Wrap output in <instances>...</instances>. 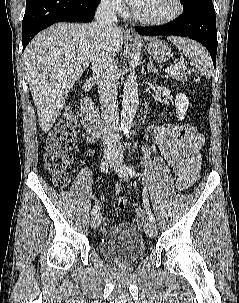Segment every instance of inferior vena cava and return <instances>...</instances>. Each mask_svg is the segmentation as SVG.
<instances>
[{"mask_svg":"<svg viewBox=\"0 0 239 303\" xmlns=\"http://www.w3.org/2000/svg\"><path fill=\"white\" fill-rule=\"evenodd\" d=\"M116 3L114 0H101L95 13L96 34L100 40L91 62L95 77L99 81V93L103 120V146L106 151L118 150V101L117 65L115 54L109 47V39L116 28Z\"/></svg>","mask_w":239,"mask_h":303,"instance_id":"602c4592","label":"inferior vena cava"}]
</instances>
